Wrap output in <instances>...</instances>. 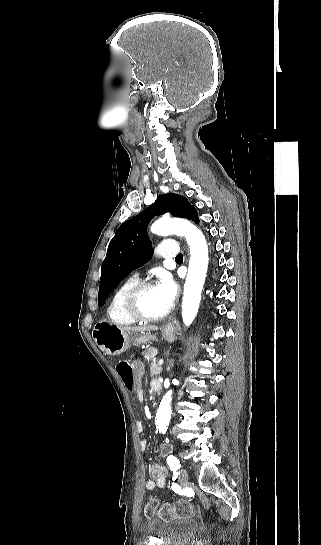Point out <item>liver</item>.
<instances>
[{
  "instance_id": "1",
  "label": "liver",
  "mask_w": 321,
  "mask_h": 545,
  "mask_svg": "<svg viewBox=\"0 0 321 545\" xmlns=\"http://www.w3.org/2000/svg\"><path fill=\"white\" fill-rule=\"evenodd\" d=\"M120 331H123V333H129V331H132V333H143V331H158L159 327H155V325H142V327H118Z\"/></svg>"
}]
</instances>
